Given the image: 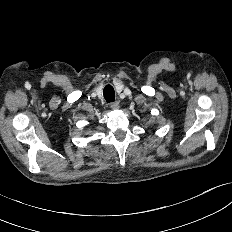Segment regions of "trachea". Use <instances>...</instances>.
<instances>
[{"label":"trachea","mask_w":232,"mask_h":232,"mask_svg":"<svg viewBox=\"0 0 232 232\" xmlns=\"http://www.w3.org/2000/svg\"><path fill=\"white\" fill-rule=\"evenodd\" d=\"M104 98L107 102H114L115 101V91L111 85H106L103 90Z\"/></svg>","instance_id":"trachea-1"}]
</instances>
